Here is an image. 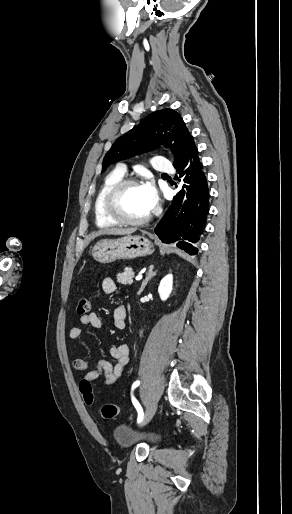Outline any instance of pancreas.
I'll return each instance as SVG.
<instances>
[{
  "mask_svg": "<svg viewBox=\"0 0 292 514\" xmlns=\"http://www.w3.org/2000/svg\"><path fill=\"white\" fill-rule=\"evenodd\" d=\"M134 278V272L132 268H126L125 272H122V274H117V282L119 284H125V286H131Z\"/></svg>",
  "mask_w": 292,
  "mask_h": 514,
  "instance_id": "cf45deb5",
  "label": "pancreas"
}]
</instances>
